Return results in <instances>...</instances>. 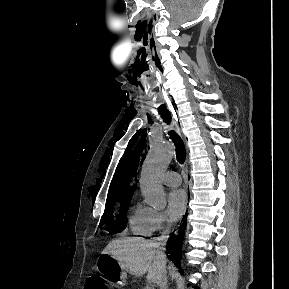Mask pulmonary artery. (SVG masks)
<instances>
[{
	"label": "pulmonary artery",
	"mask_w": 289,
	"mask_h": 289,
	"mask_svg": "<svg viewBox=\"0 0 289 289\" xmlns=\"http://www.w3.org/2000/svg\"><path fill=\"white\" fill-rule=\"evenodd\" d=\"M163 183L170 187H177L181 183L180 175L175 171H167L162 176Z\"/></svg>",
	"instance_id": "pulmonary-artery-1"
}]
</instances>
